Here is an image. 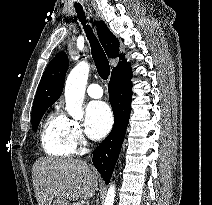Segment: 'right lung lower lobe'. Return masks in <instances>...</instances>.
Listing matches in <instances>:
<instances>
[{
    "label": "right lung lower lobe",
    "mask_w": 212,
    "mask_h": 205,
    "mask_svg": "<svg viewBox=\"0 0 212 205\" xmlns=\"http://www.w3.org/2000/svg\"><path fill=\"white\" fill-rule=\"evenodd\" d=\"M131 78L132 71L128 63L112 71L108 85L114 126L107 138L96 148L92 159L106 184L109 183L113 173L129 122L132 100Z\"/></svg>",
    "instance_id": "obj_1"
}]
</instances>
